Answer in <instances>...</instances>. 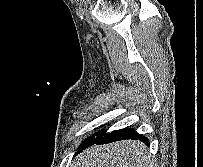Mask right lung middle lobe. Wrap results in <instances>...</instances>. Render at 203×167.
I'll use <instances>...</instances> for the list:
<instances>
[{
    "label": "right lung middle lobe",
    "mask_w": 203,
    "mask_h": 167,
    "mask_svg": "<svg viewBox=\"0 0 203 167\" xmlns=\"http://www.w3.org/2000/svg\"><path fill=\"white\" fill-rule=\"evenodd\" d=\"M104 134H105V133L96 134V135H98L97 138H100V137H102ZM93 140H94V138H88V139L85 141V143L80 146L79 151H80V149H81L84 145H86L87 143H89V142H91V141H93Z\"/></svg>",
    "instance_id": "dd1d6c3e"
}]
</instances>
